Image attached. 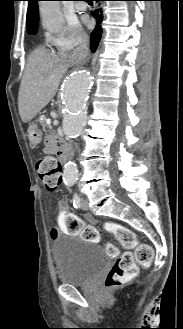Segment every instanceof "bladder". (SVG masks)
I'll use <instances>...</instances> for the list:
<instances>
[{"mask_svg":"<svg viewBox=\"0 0 183 329\" xmlns=\"http://www.w3.org/2000/svg\"><path fill=\"white\" fill-rule=\"evenodd\" d=\"M52 254L58 280L64 284L86 286L109 267L110 258L102 247L74 234L57 236L52 243Z\"/></svg>","mask_w":183,"mask_h":329,"instance_id":"obj_1","label":"bladder"}]
</instances>
